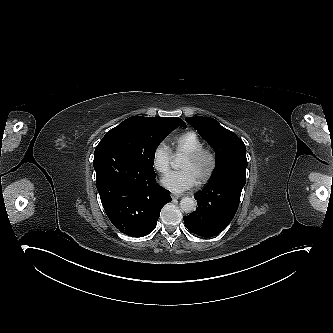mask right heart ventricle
<instances>
[{"label":"right heart ventricle","mask_w":333,"mask_h":333,"mask_svg":"<svg viewBox=\"0 0 333 333\" xmlns=\"http://www.w3.org/2000/svg\"><path fill=\"white\" fill-rule=\"evenodd\" d=\"M201 149V143L193 132H187L180 136L174 145V155L178 160L183 159L188 154Z\"/></svg>","instance_id":"1"}]
</instances>
